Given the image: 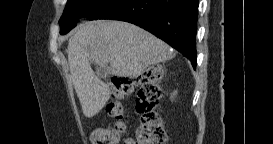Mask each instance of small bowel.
<instances>
[{
  "label": "small bowel",
  "mask_w": 273,
  "mask_h": 144,
  "mask_svg": "<svg viewBox=\"0 0 273 144\" xmlns=\"http://www.w3.org/2000/svg\"><path fill=\"white\" fill-rule=\"evenodd\" d=\"M126 143L129 144V143H131V142L128 141V142H126Z\"/></svg>",
  "instance_id": "1"
}]
</instances>
